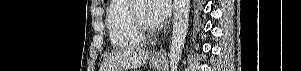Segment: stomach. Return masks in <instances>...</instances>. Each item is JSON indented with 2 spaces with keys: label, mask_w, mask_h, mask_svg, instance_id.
Segmentation results:
<instances>
[{
  "label": "stomach",
  "mask_w": 301,
  "mask_h": 71,
  "mask_svg": "<svg viewBox=\"0 0 301 71\" xmlns=\"http://www.w3.org/2000/svg\"><path fill=\"white\" fill-rule=\"evenodd\" d=\"M149 63L152 68L157 70H160L163 66V60H159L156 58H151Z\"/></svg>",
  "instance_id": "stomach-1"
}]
</instances>
